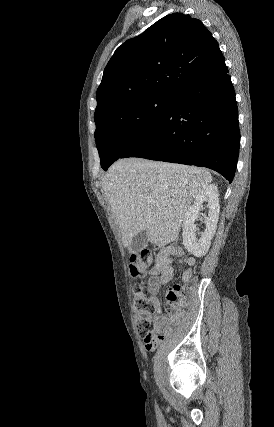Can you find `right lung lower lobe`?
<instances>
[{
    "label": "right lung lower lobe",
    "instance_id": "right-lung-lower-lobe-1",
    "mask_svg": "<svg viewBox=\"0 0 274 427\" xmlns=\"http://www.w3.org/2000/svg\"><path fill=\"white\" fill-rule=\"evenodd\" d=\"M240 144L227 67L174 95L161 121L122 156L207 167L231 183Z\"/></svg>",
    "mask_w": 274,
    "mask_h": 427
}]
</instances>
